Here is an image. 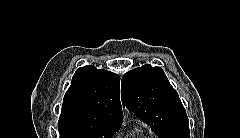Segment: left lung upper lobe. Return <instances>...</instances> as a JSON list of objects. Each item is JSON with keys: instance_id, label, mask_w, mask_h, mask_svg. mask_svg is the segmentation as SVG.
Wrapping results in <instances>:
<instances>
[{"instance_id": "obj_1", "label": "left lung upper lobe", "mask_w": 240, "mask_h": 138, "mask_svg": "<svg viewBox=\"0 0 240 138\" xmlns=\"http://www.w3.org/2000/svg\"><path fill=\"white\" fill-rule=\"evenodd\" d=\"M121 97L160 138L190 137L186 111L162 68L147 64L124 74Z\"/></svg>"}]
</instances>
